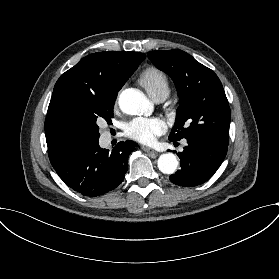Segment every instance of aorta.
I'll return each mask as SVG.
<instances>
[{"instance_id": "1", "label": "aorta", "mask_w": 279, "mask_h": 279, "mask_svg": "<svg viewBox=\"0 0 279 279\" xmlns=\"http://www.w3.org/2000/svg\"><path fill=\"white\" fill-rule=\"evenodd\" d=\"M119 106L123 112L129 115L147 114L152 110V105L143 92L138 89L128 88L122 91L119 96ZM158 168L164 174L175 173L178 160L171 153H165L158 158Z\"/></svg>"}]
</instances>
